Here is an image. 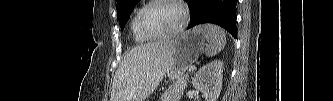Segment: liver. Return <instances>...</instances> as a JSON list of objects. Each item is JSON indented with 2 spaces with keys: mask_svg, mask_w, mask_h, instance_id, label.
<instances>
[{
  "mask_svg": "<svg viewBox=\"0 0 333 101\" xmlns=\"http://www.w3.org/2000/svg\"><path fill=\"white\" fill-rule=\"evenodd\" d=\"M172 40L156 41L134 47L117 69L111 101H144L167 73Z\"/></svg>",
  "mask_w": 333,
  "mask_h": 101,
  "instance_id": "liver-1",
  "label": "liver"
}]
</instances>
